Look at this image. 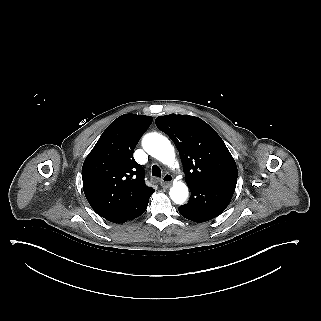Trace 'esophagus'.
Returning <instances> with one entry per match:
<instances>
[{"instance_id":"obj_1","label":"esophagus","mask_w":321,"mask_h":321,"mask_svg":"<svg viewBox=\"0 0 321 321\" xmlns=\"http://www.w3.org/2000/svg\"><path fill=\"white\" fill-rule=\"evenodd\" d=\"M172 181H173V176L167 173L163 176L160 185L162 188H169L172 185Z\"/></svg>"}]
</instances>
